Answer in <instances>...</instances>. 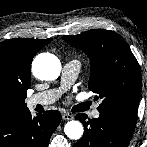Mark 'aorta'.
<instances>
[{
	"label": "aorta",
	"instance_id": "obj_1",
	"mask_svg": "<svg viewBox=\"0 0 147 147\" xmlns=\"http://www.w3.org/2000/svg\"><path fill=\"white\" fill-rule=\"evenodd\" d=\"M60 71V60L50 53L39 54L32 63V72L40 80H55ZM64 132L68 138L78 140L82 137L84 129L79 121L72 120L66 123Z\"/></svg>",
	"mask_w": 147,
	"mask_h": 147
}]
</instances>
